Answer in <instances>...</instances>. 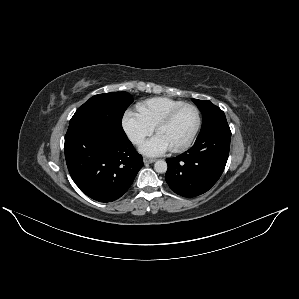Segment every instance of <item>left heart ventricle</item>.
<instances>
[{
  "label": "left heart ventricle",
  "mask_w": 299,
  "mask_h": 299,
  "mask_svg": "<svg viewBox=\"0 0 299 299\" xmlns=\"http://www.w3.org/2000/svg\"><path fill=\"white\" fill-rule=\"evenodd\" d=\"M197 122L196 112L192 108L180 111L174 120L162 127L158 134L162 135L175 148L186 142L193 133Z\"/></svg>",
  "instance_id": "1"
}]
</instances>
